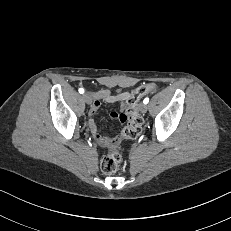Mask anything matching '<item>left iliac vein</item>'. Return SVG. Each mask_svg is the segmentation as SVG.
<instances>
[{
    "instance_id": "obj_1",
    "label": "left iliac vein",
    "mask_w": 231,
    "mask_h": 231,
    "mask_svg": "<svg viewBox=\"0 0 231 231\" xmlns=\"http://www.w3.org/2000/svg\"><path fill=\"white\" fill-rule=\"evenodd\" d=\"M147 109H148V106L146 104H141L140 105V111L142 113H146L147 112Z\"/></svg>"
}]
</instances>
